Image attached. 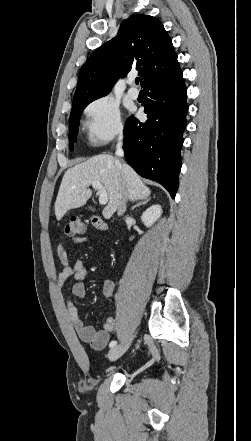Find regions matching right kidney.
Instances as JSON below:
<instances>
[{
	"mask_svg": "<svg viewBox=\"0 0 251 441\" xmlns=\"http://www.w3.org/2000/svg\"><path fill=\"white\" fill-rule=\"evenodd\" d=\"M161 214V206L158 204L152 205L143 212L141 220L146 227H150L160 218Z\"/></svg>",
	"mask_w": 251,
	"mask_h": 441,
	"instance_id": "obj_1",
	"label": "right kidney"
}]
</instances>
